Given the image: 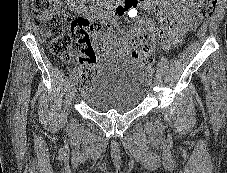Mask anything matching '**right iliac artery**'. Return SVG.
<instances>
[{
  "label": "right iliac artery",
  "instance_id": "82829eb1",
  "mask_svg": "<svg viewBox=\"0 0 227 173\" xmlns=\"http://www.w3.org/2000/svg\"><path fill=\"white\" fill-rule=\"evenodd\" d=\"M79 70H80L79 67L74 68L70 76H71L72 78L77 77Z\"/></svg>",
  "mask_w": 227,
  "mask_h": 173
}]
</instances>
